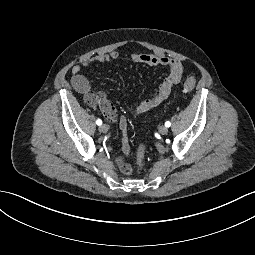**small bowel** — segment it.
Segmentation results:
<instances>
[{"mask_svg":"<svg viewBox=\"0 0 255 255\" xmlns=\"http://www.w3.org/2000/svg\"><path fill=\"white\" fill-rule=\"evenodd\" d=\"M119 58L117 51H112L107 54H98L88 59H85L81 64L74 65L71 68V83L74 89L84 95L85 102L91 106H98L106 118L111 121H115L118 118L117 111L113 104L108 100L104 92H93L89 80L81 74L82 68H90L95 65H101L110 61H115ZM131 59L135 63H142L149 66L161 65L168 68V76L164 79L161 85L156 91H154L147 99L138 103L132 110V114L137 116L145 113L169 97L172 88L177 85L183 76L182 63L172 57L165 54L154 53H134L131 55ZM119 127L122 131V151L125 156H129L131 148L129 138L127 135L128 121L124 115L119 117ZM119 169L124 174H130L132 172L131 166L126 163L122 158L116 159Z\"/></svg>","mask_w":255,"mask_h":255,"instance_id":"c3829d8e","label":"small bowel"}]
</instances>
